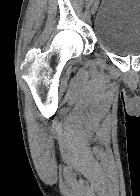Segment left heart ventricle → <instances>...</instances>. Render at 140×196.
<instances>
[{
  "label": "left heart ventricle",
  "instance_id": "b2bd125f",
  "mask_svg": "<svg viewBox=\"0 0 140 196\" xmlns=\"http://www.w3.org/2000/svg\"><path fill=\"white\" fill-rule=\"evenodd\" d=\"M107 192H121V191H107Z\"/></svg>",
  "mask_w": 140,
  "mask_h": 196
}]
</instances>
